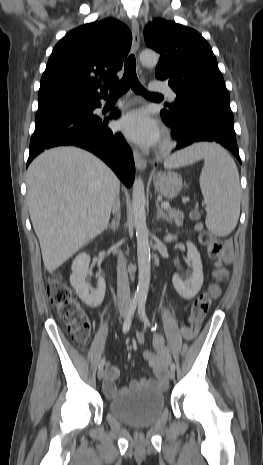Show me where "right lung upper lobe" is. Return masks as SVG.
I'll return each instance as SVG.
<instances>
[{
    "label": "right lung upper lobe",
    "instance_id": "right-lung-upper-lobe-1",
    "mask_svg": "<svg viewBox=\"0 0 263 465\" xmlns=\"http://www.w3.org/2000/svg\"><path fill=\"white\" fill-rule=\"evenodd\" d=\"M131 42L128 27L113 18L70 31L52 51L41 78L38 101L66 96L106 97L104 85L118 80L117 71Z\"/></svg>",
    "mask_w": 263,
    "mask_h": 465
}]
</instances>
